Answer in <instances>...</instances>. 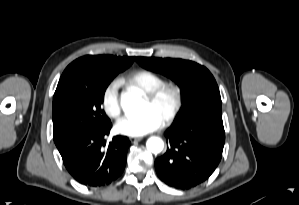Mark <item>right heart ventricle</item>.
Instances as JSON below:
<instances>
[{
  "mask_svg": "<svg viewBox=\"0 0 299 205\" xmlns=\"http://www.w3.org/2000/svg\"><path fill=\"white\" fill-rule=\"evenodd\" d=\"M124 81L129 87L136 88L144 94L164 83L161 76L149 70L132 72Z\"/></svg>",
  "mask_w": 299,
  "mask_h": 205,
  "instance_id": "obj_1",
  "label": "right heart ventricle"
}]
</instances>
